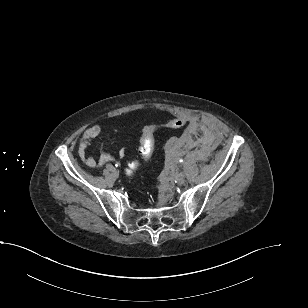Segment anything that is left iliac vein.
Wrapping results in <instances>:
<instances>
[{"label":"left iliac vein","instance_id":"4c4485c4","mask_svg":"<svg viewBox=\"0 0 308 308\" xmlns=\"http://www.w3.org/2000/svg\"><path fill=\"white\" fill-rule=\"evenodd\" d=\"M174 178L179 185H182L185 182V176L183 173H176Z\"/></svg>","mask_w":308,"mask_h":308}]
</instances>
